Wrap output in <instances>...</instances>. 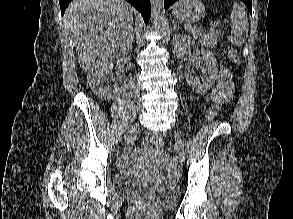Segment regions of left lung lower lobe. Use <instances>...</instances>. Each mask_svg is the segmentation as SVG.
<instances>
[{
    "mask_svg": "<svg viewBox=\"0 0 293 219\" xmlns=\"http://www.w3.org/2000/svg\"><path fill=\"white\" fill-rule=\"evenodd\" d=\"M177 0H164V8L165 10L168 9V7L170 5H172L174 2H176ZM248 8L249 12L252 15V0H241Z\"/></svg>",
    "mask_w": 293,
    "mask_h": 219,
    "instance_id": "1",
    "label": "left lung lower lobe"
}]
</instances>
